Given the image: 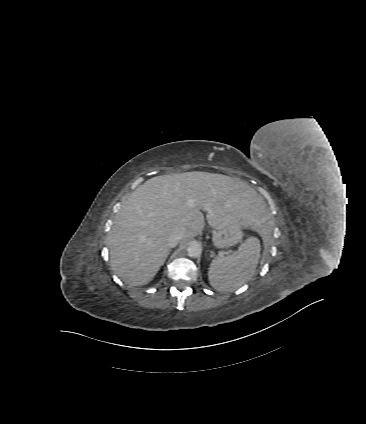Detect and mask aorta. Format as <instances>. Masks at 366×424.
Wrapping results in <instances>:
<instances>
[{"label": "aorta", "instance_id": "762f6f07", "mask_svg": "<svg viewBox=\"0 0 366 424\" xmlns=\"http://www.w3.org/2000/svg\"><path fill=\"white\" fill-rule=\"evenodd\" d=\"M187 254L189 257L197 258L201 254V247L198 244H190L187 247Z\"/></svg>", "mask_w": 366, "mask_h": 424}]
</instances>
